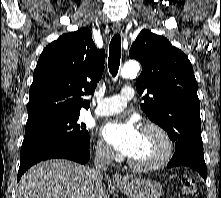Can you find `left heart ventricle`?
Wrapping results in <instances>:
<instances>
[{
  "instance_id": "b2bd125f",
  "label": "left heart ventricle",
  "mask_w": 221,
  "mask_h": 198,
  "mask_svg": "<svg viewBox=\"0 0 221 198\" xmlns=\"http://www.w3.org/2000/svg\"><path fill=\"white\" fill-rule=\"evenodd\" d=\"M162 149V141L154 132L141 131L138 144L129 157L139 163H148L155 160Z\"/></svg>"
}]
</instances>
